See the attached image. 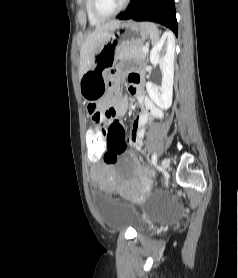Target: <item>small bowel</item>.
I'll return each mask as SVG.
<instances>
[{"label":"small bowel","mask_w":238,"mask_h":278,"mask_svg":"<svg viewBox=\"0 0 238 278\" xmlns=\"http://www.w3.org/2000/svg\"><path fill=\"white\" fill-rule=\"evenodd\" d=\"M109 76H117L112 83L111 93H105V101L100 103H92L88 106V114L90 116L91 129L98 130L100 137H124L126 145L128 144L134 150H140L144 143L145 126L151 119L160 118L162 111L152 102L144 91V77L141 71H133L128 74L129 92L135 95L140 106L139 114L131 126V135L125 137L126 128L117 120L127 113L128 100L119 95L120 76H118V68L114 67L113 71H109ZM107 113H114L108 116ZM117 125L119 127H112ZM102 133L104 135H102ZM102 182L107 185L115 186L112 177L105 174Z\"/></svg>","instance_id":"c3829d8e"}]
</instances>
